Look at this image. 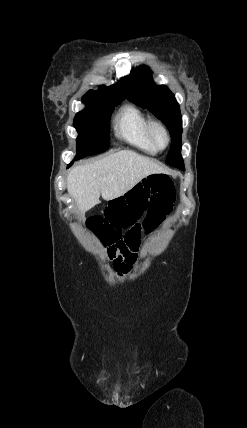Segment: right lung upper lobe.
<instances>
[{
    "mask_svg": "<svg viewBox=\"0 0 247 428\" xmlns=\"http://www.w3.org/2000/svg\"><path fill=\"white\" fill-rule=\"evenodd\" d=\"M83 98L98 100L104 104H119L125 95L120 82L111 86H100L98 91L90 90Z\"/></svg>",
    "mask_w": 247,
    "mask_h": 428,
    "instance_id": "right-lung-upper-lobe-1",
    "label": "right lung upper lobe"
}]
</instances>
